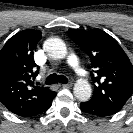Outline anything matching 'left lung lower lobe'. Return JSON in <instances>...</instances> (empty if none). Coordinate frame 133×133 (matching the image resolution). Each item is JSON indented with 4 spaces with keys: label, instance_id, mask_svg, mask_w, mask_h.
<instances>
[{
    "label": "left lung lower lobe",
    "instance_id": "obj_1",
    "mask_svg": "<svg viewBox=\"0 0 133 133\" xmlns=\"http://www.w3.org/2000/svg\"><path fill=\"white\" fill-rule=\"evenodd\" d=\"M80 108L83 112L98 117H106L118 112V110H115L113 108L101 106L90 101L81 103Z\"/></svg>",
    "mask_w": 133,
    "mask_h": 133
}]
</instances>
